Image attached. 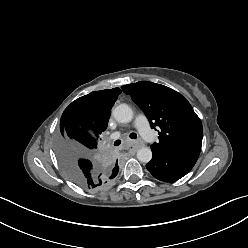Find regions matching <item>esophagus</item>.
Here are the masks:
<instances>
[{"mask_svg":"<svg viewBox=\"0 0 248 248\" xmlns=\"http://www.w3.org/2000/svg\"><path fill=\"white\" fill-rule=\"evenodd\" d=\"M142 145L141 142H133V149L137 150Z\"/></svg>","mask_w":248,"mask_h":248,"instance_id":"1","label":"esophagus"}]
</instances>
